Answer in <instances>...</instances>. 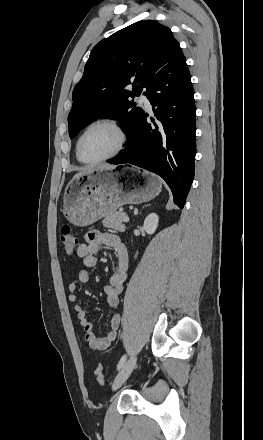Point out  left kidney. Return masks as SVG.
I'll use <instances>...</instances> for the list:
<instances>
[{"label": "left kidney", "instance_id": "left-kidney-1", "mask_svg": "<svg viewBox=\"0 0 263 440\" xmlns=\"http://www.w3.org/2000/svg\"><path fill=\"white\" fill-rule=\"evenodd\" d=\"M159 217L156 213L149 214L144 220V230L147 234H154L158 227Z\"/></svg>", "mask_w": 263, "mask_h": 440}]
</instances>
